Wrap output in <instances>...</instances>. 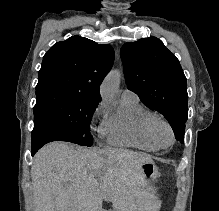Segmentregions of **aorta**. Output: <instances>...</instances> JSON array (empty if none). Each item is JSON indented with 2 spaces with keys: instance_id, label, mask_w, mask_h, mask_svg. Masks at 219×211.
Here are the masks:
<instances>
[{
  "instance_id": "762f6f07",
  "label": "aorta",
  "mask_w": 219,
  "mask_h": 211,
  "mask_svg": "<svg viewBox=\"0 0 219 211\" xmlns=\"http://www.w3.org/2000/svg\"><path fill=\"white\" fill-rule=\"evenodd\" d=\"M121 73L119 70H112L104 79L100 91L104 99H112L118 90Z\"/></svg>"
}]
</instances>
